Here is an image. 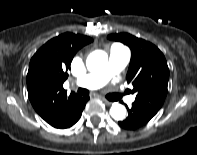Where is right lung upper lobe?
<instances>
[{"label": "right lung upper lobe", "mask_w": 197, "mask_h": 155, "mask_svg": "<svg viewBox=\"0 0 197 155\" xmlns=\"http://www.w3.org/2000/svg\"><path fill=\"white\" fill-rule=\"evenodd\" d=\"M92 39L64 33L44 44L32 57L27 74L30 102L50 125H55L79 97L63 88L75 53Z\"/></svg>", "instance_id": "right-lung-upper-lobe-1"}]
</instances>
